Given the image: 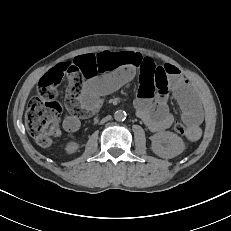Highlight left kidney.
<instances>
[{"label": "left kidney", "mask_w": 231, "mask_h": 231, "mask_svg": "<svg viewBox=\"0 0 231 231\" xmlns=\"http://www.w3.org/2000/svg\"><path fill=\"white\" fill-rule=\"evenodd\" d=\"M184 149L183 140L175 133L163 131L152 136V150L161 158H174L180 155Z\"/></svg>", "instance_id": "1"}]
</instances>
